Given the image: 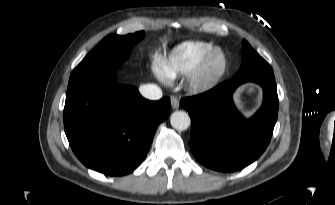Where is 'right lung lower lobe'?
I'll use <instances>...</instances> for the list:
<instances>
[{
    "label": "right lung lower lobe",
    "mask_w": 335,
    "mask_h": 205,
    "mask_svg": "<svg viewBox=\"0 0 335 205\" xmlns=\"http://www.w3.org/2000/svg\"><path fill=\"white\" fill-rule=\"evenodd\" d=\"M170 111V99H144L138 90L101 72L68 85L64 129L78 159L109 176L136 169L146 156L156 127Z\"/></svg>",
    "instance_id": "right-lung-lower-lobe-1"
}]
</instances>
